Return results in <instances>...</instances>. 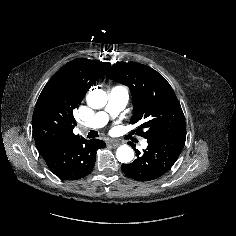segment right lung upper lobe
Wrapping results in <instances>:
<instances>
[{
	"instance_id": "cb5924a9",
	"label": "right lung upper lobe",
	"mask_w": 236,
	"mask_h": 236,
	"mask_svg": "<svg viewBox=\"0 0 236 236\" xmlns=\"http://www.w3.org/2000/svg\"><path fill=\"white\" fill-rule=\"evenodd\" d=\"M110 67L85 58L72 60L60 68L43 88L33 113L32 128L36 147L68 144L83 137L73 134V110L88 89Z\"/></svg>"
}]
</instances>
